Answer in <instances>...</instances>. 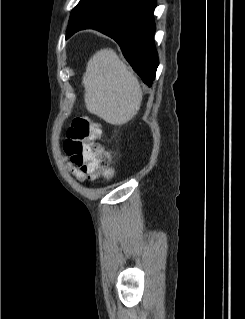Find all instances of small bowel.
<instances>
[{"instance_id": "small-bowel-1", "label": "small bowel", "mask_w": 245, "mask_h": 319, "mask_svg": "<svg viewBox=\"0 0 245 319\" xmlns=\"http://www.w3.org/2000/svg\"><path fill=\"white\" fill-rule=\"evenodd\" d=\"M67 169L79 180H82L85 176L77 167H75L71 163H67Z\"/></svg>"}]
</instances>
